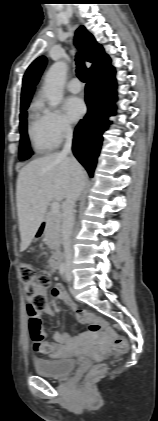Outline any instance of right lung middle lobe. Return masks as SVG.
I'll return each mask as SVG.
<instances>
[{"label": "right lung middle lobe", "mask_w": 158, "mask_h": 421, "mask_svg": "<svg viewBox=\"0 0 158 421\" xmlns=\"http://www.w3.org/2000/svg\"><path fill=\"white\" fill-rule=\"evenodd\" d=\"M29 103L25 104V105H21V113H20V134H21V138H20V147H19V159L20 160H26L28 159L31 155L32 152L30 150V146H29V139H28V135H27V121H26V117H27V112L26 109L28 108Z\"/></svg>", "instance_id": "dd1d6c3e"}]
</instances>
